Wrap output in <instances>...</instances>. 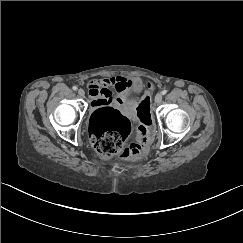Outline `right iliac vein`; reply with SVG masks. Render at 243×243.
I'll list each match as a JSON object with an SVG mask.
<instances>
[{
	"mask_svg": "<svg viewBox=\"0 0 243 243\" xmlns=\"http://www.w3.org/2000/svg\"><path fill=\"white\" fill-rule=\"evenodd\" d=\"M78 94H79V96L84 97L85 92H84L83 89H79V90H78Z\"/></svg>",
	"mask_w": 243,
	"mask_h": 243,
	"instance_id": "right-iliac-vein-1",
	"label": "right iliac vein"
}]
</instances>
